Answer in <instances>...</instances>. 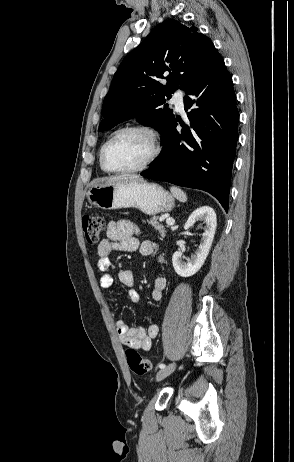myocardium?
Returning <instances> with one entry per match:
<instances>
[{
  "instance_id": "1",
  "label": "myocardium",
  "mask_w": 294,
  "mask_h": 462,
  "mask_svg": "<svg viewBox=\"0 0 294 462\" xmlns=\"http://www.w3.org/2000/svg\"><path fill=\"white\" fill-rule=\"evenodd\" d=\"M129 131H136V132H141L145 134L152 146V151L148 158L141 163L138 166L131 167V168H126V169H111L106 165V150L108 146L121 134ZM161 153V144H160V139L157 134V132L152 129L151 127L145 126V125H140V124H132V125H126L124 127H121L120 129L116 130L107 140L106 142L102 145L101 150H100V165L101 168L108 172V173H115V174H125V173H135V172H140L148 167H150L156 159L159 157Z\"/></svg>"
}]
</instances>
